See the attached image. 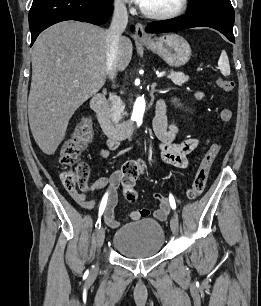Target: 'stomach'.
Listing matches in <instances>:
<instances>
[{
    "label": "stomach",
    "mask_w": 261,
    "mask_h": 306,
    "mask_svg": "<svg viewBox=\"0 0 261 306\" xmlns=\"http://www.w3.org/2000/svg\"><path fill=\"white\" fill-rule=\"evenodd\" d=\"M142 44L172 67L185 65L191 57L189 43L177 34H165L150 41H142Z\"/></svg>",
    "instance_id": "stomach-1"
}]
</instances>
